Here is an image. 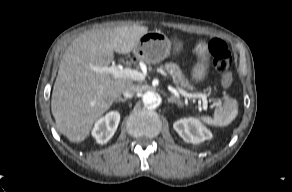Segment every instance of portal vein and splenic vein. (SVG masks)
I'll use <instances>...</instances> for the list:
<instances>
[{"mask_svg":"<svg viewBox=\"0 0 292 192\" xmlns=\"http://www.w3.org/2000/svg\"><path fill=\"white\" fill-rule=\"evenodd\" d=\"M95 71L100 73H109L114 78H129L136 81H142L145 79V75L137 70L131 68H122L119 65L112 64L111 66L95 67ZM162 74H165L163 70H159ZM178 92L186 98H201L203 103L207 104V95L201 93H188L181 88H177Z\"/></svg>","mask_w":292,"mask_h":192,"instance_id":"portal-vein-and-splenic-vein-1","label":"portal vein and splenic vein"}]
</instances>
